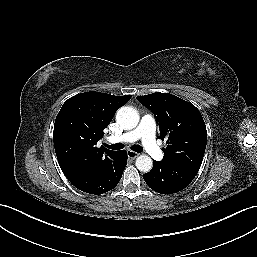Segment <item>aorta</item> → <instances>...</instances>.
I'll use <instances>...</instances> for the list:
<instances>
[{
  "label": "aorta",
  "mask_w": 257,
  "mask_h": 257,
  "mask_svg": "<svg viewBox=\"0 0 257 257\" xmlns=\"http://www.w3.org/2000/svg\"><path fill=\"white\" fill-rule=\"evenodd\" d=\"M117 123L124 129L135 128L139 123V114L136 109L129 106L121 107L116 114ZM153 161L147 155H140L136 159V167L139 171L149 172L152 169Z\"/></svg>",
  "instance_id": "762f6f07"
}]
</instances>
